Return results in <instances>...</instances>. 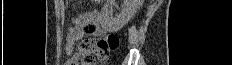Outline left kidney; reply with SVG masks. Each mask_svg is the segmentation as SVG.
I'll return each instance as SVG.
<instances>
[{
    "label": "left kidney",
    "instance_id": "1",
    "mask_svg": "<svg viewBox=\"0 0 232 65\" xmlns=\"http://www.w3.org/2000/svg\"><path fill=\"white\" fill-rule=\"evenodd\" d=\"M113 0H107L101 11L100 22L103 29L110 32L120 30L137 12L140 0H124V5L119 14L111 16L110 7Z\"/></svg>",
    "mask_w": 232,
    "mask_h": 65
}]
</instances>
